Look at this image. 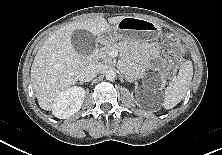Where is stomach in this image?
Masks as SVG:
<instances>
[{
	"label": "stomach",
	"instance_id": "0dacf381",
	"mask_svg": "<svg viewBox=\"0 0 222 155\" xmlns=\"http://www.w3.org/2000/svg\"><path fill=\"white\" fill-rule=\"evenodd\" d=\"M161 35V27L156 23L136 17H125L117 25L98 36V42L103 46L115 45L117 41L140 45L154 41Z\"/></svg>",
	"mask_w": 222,
	"mask_h": 155
}]
</instances>
